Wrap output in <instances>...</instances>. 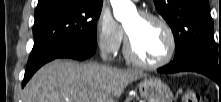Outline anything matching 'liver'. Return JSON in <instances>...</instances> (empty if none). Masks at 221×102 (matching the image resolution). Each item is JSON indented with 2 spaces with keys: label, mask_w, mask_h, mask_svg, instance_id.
I'll return each mask as SVG.
<instances>
[{
  "label": "liver",
  "mask_w": 221,
  "mask_h": 102,
  "mask_svg": "<svg viewBox=\"0 0 221 102\" xmlns=\"http://www.w3.org/2000/svg\"><path fill=\"white\" fill-rule=\"evenodd\" d=\"M144 76L97 63L54 60L27 83L23 102H115L129 84Z\"/></svg>",
  "instance_id": "1"
}]
</instances>
